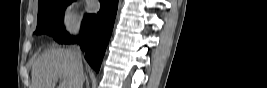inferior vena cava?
Wrapping results in <instances>:
<instances>
[{
    "instance_id": "inferior-vena-cava-1",
    "label": "inferior vena cava",
    "mask_w": 267,
    "mask_h": 88,
    "mask_svg": "<svg viewBox=\"0 0 267 88\" xmlns=\"http://www.w3.org/2000/svg\"><path fill=\"white\" fill-rule=\"evenodd\" d=\"M74 53H75V55L77 57V60H78V63H79V78H80V81H79L78 88H83L84 75H83V66H82L81 50H80V47L79 46L74 51Z\"/></svg>"
}]
</instances>
